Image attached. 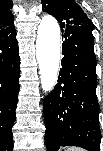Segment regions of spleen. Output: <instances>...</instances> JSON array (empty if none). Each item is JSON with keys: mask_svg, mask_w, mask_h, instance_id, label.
Masks as SVG:
<instances>
[{"mask_svg": "<svg viewBox=\"0 0 103 151\" xmlns=\"http://www.w3.org/2000/svg\"><path fill=\"white\" fill-rule=\"evenodd\" d=\"M67 151H85V149L78 148V147H70Z\"/></svg>", "mask_w": 103, "mask_h": 151, "instance_id": "spleen-1", "label": "spleen"}]
</instances>
